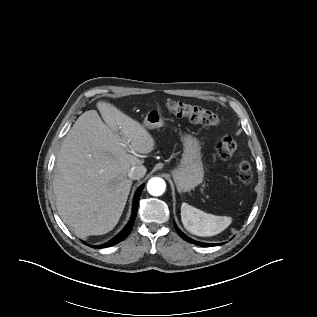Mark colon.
Wrapping results in <instances>:
<instances>
[{"label":"colon","mask_w":317,"mask_h":317,"mask_svg":"<svg viewBox=\"0 0 317 317\" xmlns=\"http://www.w3.org/2000/svg\"><path fill=\"white\" fill-rule=\"evenodd\" d=\"M168 110L171 115L176 117H187L191 121L207 126H217L220 124L219 117L212 111L196 104H189L183 101H171L168 103ZM237 143L232 136L224 137L216 146V154L220 160H228L232 157ZM238 179L248 184L253 177V168L250 162L240 161L236 166Z\"/></svg>","instance_id":"1"}]
</instances>
